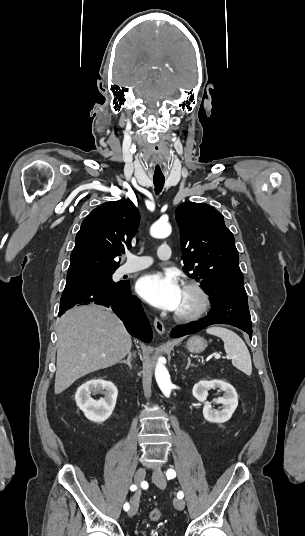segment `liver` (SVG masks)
<instances>
[{
  "mask_svg": "<svg viewBox=\"0 0 305 536\" xmlns=\"http://www.w3.org/2000/svg\"><path fill=\"white\" fill-rule=\"evenodd\" d=\"M132 340L121 320L103 306H77L59 322L55 394L78 378L110 368L129 354Z\"/></svg>",
  "mask_w": 305,
  "mask_h": 536,
  "instance_id": "6515ba94",
  "label": "liver"
}]
</instances>
